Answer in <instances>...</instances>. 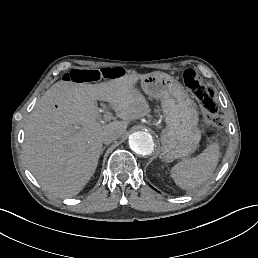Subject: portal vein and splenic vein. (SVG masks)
<instances>
[{
	"mask_svg": "<svg viewBox=\"0 0 258 258\" xmlns=\"http://www.w3.org/2000/svg\"><path fill=\"white\" fill-rule=\"evenodd\" d=\"M107 115H110V118H113L112 114L109 113V112H106ZM81 127H79L78 125L75 126V129L78 130L80 129Z\"/></svg>",
	"mask_w": 258,
	"mask_h": 258,
	"instance_id": "portal-vein-and-splenic-vein-1",
	"label": "portal vein and splenic vein"
}]
</instances>
